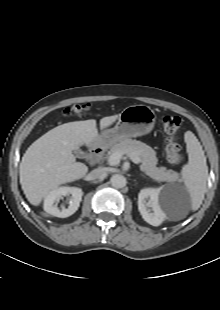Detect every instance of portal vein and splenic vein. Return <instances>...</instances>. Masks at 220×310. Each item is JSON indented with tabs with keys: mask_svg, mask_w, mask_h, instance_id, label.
Returning a JSON list of instances; mask_svg holds the SVG:
<instances>
[{
	"mask_svg": "<svg viewBox=\"0 0 220 310\" xmlns=\"http://www.w3.org/2000/svg\"><path fill=\"white\" fill-rule=\"evenodd\" d=\"M122 153L121 152H115L113 154H111L108 158V163L111 166H115L117 164H119L121 158H122ZM130 159L135 163V164H139L141 162L140 158L138 156H136L134 153L129 155Z\"/></svg>",
	"mask_w": 220,
	"mask_h": 310,
	"instance_id": "portal-vein-and-splenic-vein-1",
	"label": "portal vein and splenic vein"
}]
</instances>
